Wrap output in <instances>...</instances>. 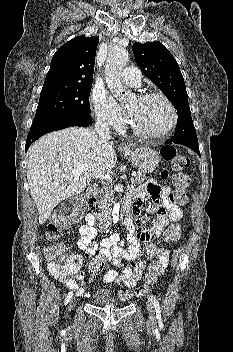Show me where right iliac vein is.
Wrapping results in <instances>:
<instances>
[{"instance_id":"right-iliac-vein-1","label":"right iliac vein","mask_w":233,"mask_h":352,"mask_svg":"<svg viewBox=\"0 0 233 352\" xmlns=\"http://www.w3.org/2000/svg\"><path fill=\"white\" fill-rule=\"evenodd\" d=\"M75 298H71L70 300H69V304H68V309H69V311L70 310H72L73 309V307H74V305H75Z\"/></svg>"}]
</instances>
